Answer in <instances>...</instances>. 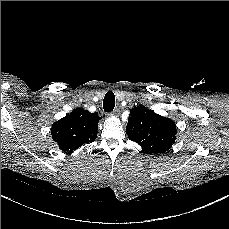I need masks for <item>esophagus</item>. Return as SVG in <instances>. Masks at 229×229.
Instances as JSON below:
<instances>
[{"label": "esophagus", "mask_w": 229, "mask_h": 229, "mask_svg": "<svg viewBox=\"0 0 229 229\" xmlns=\"http://www.w3.org/2000/svg\"><path fill=\"white\" fill-rule=\"evenodd\" d=\"M113 115L118 116L120 114L119 108H115L112 112Z\"/></svg>", "instance_id": "esophagus-1"}]
</instances>
